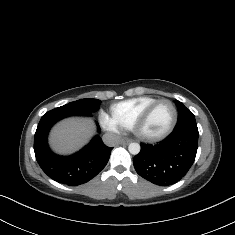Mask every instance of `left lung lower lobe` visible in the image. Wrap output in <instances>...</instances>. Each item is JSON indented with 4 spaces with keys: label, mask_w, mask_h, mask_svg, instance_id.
Segmentation results:
<instances>
[{
    "label": "left lung lower lobe",
    "mask_w": 235,
    "mask_h": 235,
    "mask_svg": "<svg viewBox=\"0 0 235 235\" xmlns=\"http://www.w3.org/2000/svg\"><path fill=\"white\" fill-rule=\"evenodd\" d=\"M198 147V131L180 129L156 145L141 144L133 159L136 172L157 185L179 181L194 163Z\"/></svg>",
    "instance_id": "left-lung-lower-lobe-1"
}]
</instances>
